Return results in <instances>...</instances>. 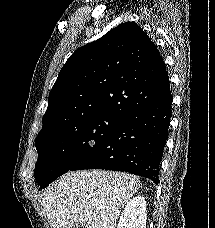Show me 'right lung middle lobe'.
<instances>
[{
	"label": "right lung middle lobe",
	"instance_id": "dd1d6c3e",
	"mask_svg": "<svg viewBox=\"0 0 215 228\" xmlns=\"http://www.w3.org/2000/svg\"><path fill=\"white\" fill-rule=\"evenodd\" d=\"M123 118L119 115L102 114L39 132L35 141L38 152L35 166L36 182L41 188H45L69 171Z\"/></svg>",
	"mask_w": 215,
	"mask_h": 228
}]
</instances>
